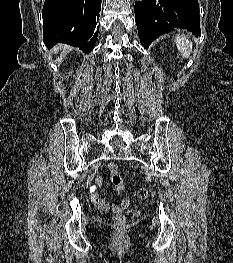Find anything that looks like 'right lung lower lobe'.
Segmentation results:
<instances>
[{
    "instance_id": "right-lung-lower-lobe-1",
    "label": "right lung lower lobe",
    "mask_w": 233,
    "mask_h": 263,
    "mask_svg": "<svg viewBox=\"0 0 233 263\" xmlns=\"http://www.w3.org/2000/svg\"><path fill=\"white\" fill-rule=\"evenodd\" d=\"M101 0H45L43 42L51 48L57 43L79 47L85 53L94 48Z\"/></svg>"
}]
</instances>
